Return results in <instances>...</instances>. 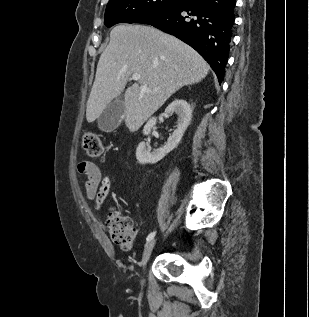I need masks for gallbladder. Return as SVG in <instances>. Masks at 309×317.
<instances>
[{
  "label": "gallbladder",
  "instance_id": "obj_1",
  "mask_svg": "<svg viewBox=\"0 0 309 317\" xmlns=\"http://www.w3.org/2000/svg\"><path fill=\"white\" fill-rule=\"evenodd\" d=\"M125 112V104L122 96L111 101L97 119L98 127L104 132H112L121 123Z\"/></svg>",
  "mask_w": 309,
  "mask_h": 317
}]
</instances>
